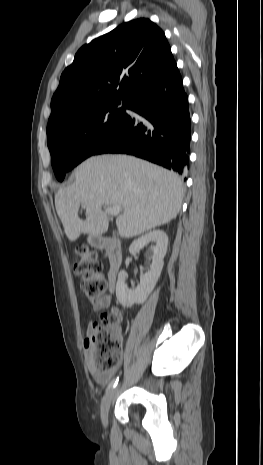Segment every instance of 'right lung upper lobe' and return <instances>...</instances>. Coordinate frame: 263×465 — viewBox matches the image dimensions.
<instances>
[{
	"mask_svg": "<svg viewBox=\"0 0 263 465\" xmlns=\"http://www.w3.org/2000/svg\"><path fill=\"white\" fill-rule=\"evenodd\" d=\"M176 62L163 31L146 18L124 23L82 46L61 75L48 123L86 105L128 99Z\"/></svg>",
	"mask_w": 263,
	"mask_h": 465,
	"instance_id": "obj_1",
	"label": "right lung upper lobe"
}]
</instances>
